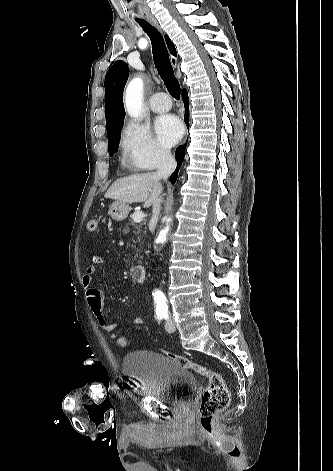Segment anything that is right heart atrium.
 <instances>
[{
	"label": "right heart atrium",
	"mask_w": 333,
	"mask_h": 471,
	"mask_svg": "<svg viewBox=\"0 0 333 471\" xmlns=\"http://www.w3.org/2000/svg\"><path fill=\"white\" fill-rule=\"evenodd\" d=\"M120 148L124 164L134 170H153L171 160L168 149L150 129L135 121H128L122 128Z\"/></svg>",
	"instance_id": "1"
}]
</instances>
